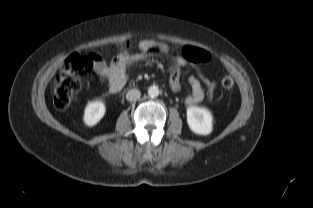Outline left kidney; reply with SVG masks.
Returning a JSON list of instances; mask_svg holds the SVG:
<instances>
[{
    "label": "left kidney",
    "mask_w": 313,
    "mask_h": 208,
    "mask_svg": "<svg viewBox=\"0 0 313 208\" xmlns=\"http://www.w3.org/2000/svg\"><path fill=\"white\" fill-rule=\"evenodd\" d=\"M187 123L191 131L198 135H208L213 129L212 114L203 107H189L187 109Z\"/></svg>",
    "instance_id": "5707ae66"
}]
</instances>
